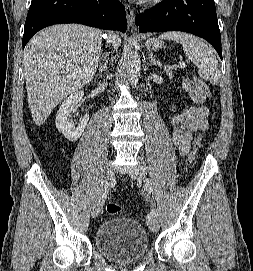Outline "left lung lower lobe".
<instances>
[{
    "instance_id": "0a47b994",
    "label": "left lung lower lobe",
    "mask_w": 253,
    "mask_h": 271,
    "mask_svg": "<svg viewBox=\"0 0 253 271\" xmlns=\"http://www.w3.org/2000/svg\"><path fill=\"white\" fill-rule=\"evenodd\" d=\"M140 32L185 31L206 39L222 58L214 0H164L136 16Z\"/></svg>"
}]
</instances>
